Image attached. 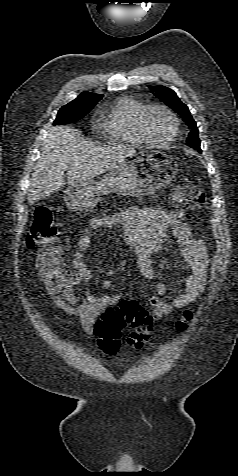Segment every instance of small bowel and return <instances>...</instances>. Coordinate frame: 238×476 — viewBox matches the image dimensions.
Masks as SVG:
<instances>
[{"mask_svg": "<svg viewBox=\"0 0 238 476\" xmlns=\"http://www.w3.org/2000/svg\"><path fill=\"white\" fill-rule=\"evenodd\" d=\"M182 218L183 214L179 212L142 207L129 208L117 214L89 219L72 258L74 272L69 273L74 278V282L57 288L48 286V294L53 305L66 314L77 316L85 333L91 336L95 334L97 320L106 309L125 300L121 294L94 295L89 289L91 273L85 264L93 236L102 229L115 227H120L125 241L137 249L138 266L142 275L148 279L154 277L151 256L161 250L168 232L172 233L181 247L180 254L185 271L182 292L169 303L164 299L167 292L166 286L159 284L156 294L149 298L152 321L171 314L175 308H182L196 301L205 287L207 253L204 243L193 236L191 228L181 222ZM80 282L87 285L83 298H80L73 290V287ZM112 285L109 279L101 282V287L105 290H109Z\"/></svg>", "mask_w": 238, "mask_h": 476, "instance_id": "small-bowel-1", "label": "small bowel"}]
</instances>
